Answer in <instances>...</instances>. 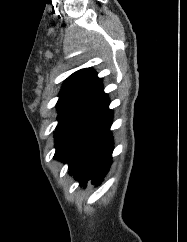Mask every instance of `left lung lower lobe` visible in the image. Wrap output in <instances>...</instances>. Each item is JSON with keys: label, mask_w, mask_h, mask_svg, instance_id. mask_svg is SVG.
Here are the masks:
<instances>
[{"label": "left lung lower lobe", "mask_w": 187, "mask_h": 242, "mask_svg": "<svg viewBox=\"0 0 187 242\" xmlns=\"http://www.w3.org/2000/svg\"><path fill=\"white\" fill-rule=\"evenodd\" d=\"M112 118L110 110L76 141L63 160L68 164L69 173L83 187L89 180L98 186L109 171L114 149Z\"/></svg>", "instance_id": "0a47b994"}]
</instances>
